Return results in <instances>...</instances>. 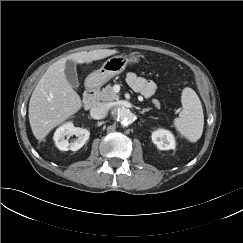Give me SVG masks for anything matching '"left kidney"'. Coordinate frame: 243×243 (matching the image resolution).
Wrapping results in <instances>:
<instances>
[{
    "mask_svg": "<svg viewBox=\"0 0 243 243\" xmlns=\"http://www.w3.org/2000/svg\"><path fill=\"white\" fill-rule=\"evenodd\" d=\"M152 141L160 150H169L175 148V139L171 132L158 129L152 133Z\"/></svg>",
    "mask_w": 243,
    "mask_h": 243,
    "instance_id": "obj_1",
    "label": "left kidney"
}]
</instances>
